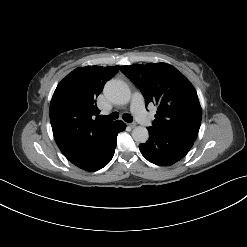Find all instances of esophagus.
Instances as JSON below:
<instances>
[{
  "label": "esophagus",
  "instance_id": "1",
  "mask_svg": "<svg viewBox=\"0 0 247 247\" xmlns=\"http://www.w3.org/2000/svg\"><path fill=\"white\" fill-rule=\"evenodd\" d=\"M128 126L131 128H134V127H136V123H128Z\"/></svg>",
  "mask_w": 247,
  "mask_h": 247
}]
</instances>
